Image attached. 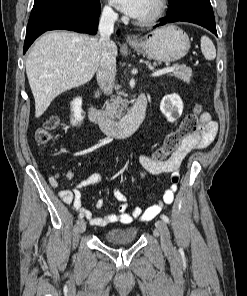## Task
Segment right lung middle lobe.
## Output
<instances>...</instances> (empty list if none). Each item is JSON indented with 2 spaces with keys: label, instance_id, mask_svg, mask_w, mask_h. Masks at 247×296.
I'll list each match as a JSON object with an SVG mask.
<instances>
[{
  "label": "right lung middle lobe",
  "instance_id": "right-lung-middle-lobe-1",
  "mask_svg": "<svg viewBox=\"0 0 247 296\" xmlns=\"http://www.w3.org/2000/svg\"><path fill=\"white\" fill-rule=\"evenodd\" d=\"M46 1H50V0H35L34 2V6ZM82 5H84L87 8H95L96 6L99 5V0H79Z\"/></svg>",
  "mask_w": 247,
  "mask_h": 296
}]
</instances>
